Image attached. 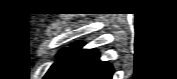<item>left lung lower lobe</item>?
<instances>
[{"label":"left lung lower lobe","instance_id":"left-lung-lower-lobe-1","mask_svg":"<svg viewBox=\"0 0 177 79\" xmlns=\"http://www.w3.org/2000/svg\"><path fill=\"white\" fill-rule=\"evenodd\" d=\"M80 48L81 44L74 46L48 79H111L112 66L99 61L98 52Z\"/></svg>","mask_w":177,"mask_h":79}]
</instances>
